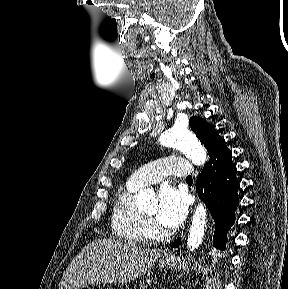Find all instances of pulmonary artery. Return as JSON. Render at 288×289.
Segmentation results:
<instances>
[{"label": "pulmonary artery", "instance_id": "1", "mask_svg": "<svg viewBox=\"0 0 288 289\" xmlns=\"http://www.w3.org/2000/svg\"><path fill=\"white\" fill-rule=\"evenodd\" d=\"M193 172V166L185 159L166 156L148 163L133 172L128 182L135 186H145L160 182L166 176L188 177Z\"/></svg>", "mask_w": 288, "mask_h": 289}]
</instances>
